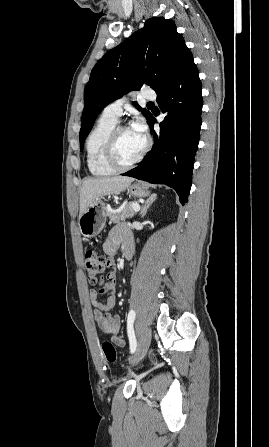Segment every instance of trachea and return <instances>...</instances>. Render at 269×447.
Masks as SVG:
<instances>
[{"label":"trachea","mask_w":269,"mask_h":447,"mask_svg":"<svg viewBox=\"0 0 269 447\" xmlns=\"http://www.w3.org/2000/svg\"><path fill=\"white\" fill-rule=\"evenodd\" d=\"M147 105H154L153 102H149Z\"/></svg>","instance_id":"trachea-1"}]
</instances>
